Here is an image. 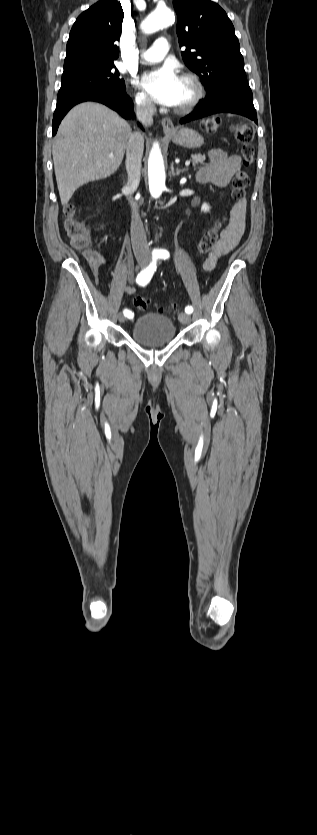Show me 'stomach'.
I'll return each mask as SVG.
<instances>
[{"instance_id": "obj_1", "label": "stomach", "mask_w": 317, "mask_h": 835, "mask_svg": "<svg viewBox=\"0 0 317 835\" xmlns=\"http://www.w3.org/2000/svg\"><path fill=\"white\" fill-rule=\"evenodd\" d=\"M175 144L186 148H199L203 145V137L192 128L182 127L167 133Z\"/></svg>"}]
</instances>
